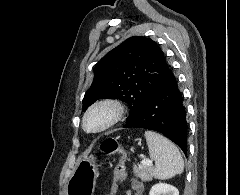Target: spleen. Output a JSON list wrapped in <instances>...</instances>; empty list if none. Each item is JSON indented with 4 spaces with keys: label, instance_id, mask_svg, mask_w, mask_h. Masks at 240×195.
<instances>
[{
    "label": "spleen",
    "instance_id": "1",
    "mask_svg": "<svg viewBox=\"0 0 240 195\" xmlns=\"http://www.w3.org/2000/svg\"><path fill=\"white\" fill-rule=\"evenodd\" d=\"M149 149V155L156 165L154 175L157 179H169L184 169V159L175 143L156 131L144 133Z\"/></svg>",
    "mask_w": 240,
    "mask_h": 195
}]
</instances>
